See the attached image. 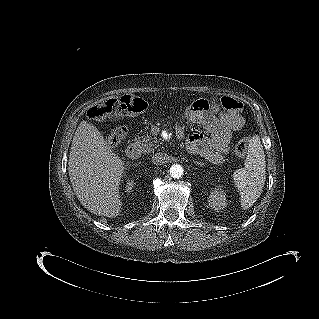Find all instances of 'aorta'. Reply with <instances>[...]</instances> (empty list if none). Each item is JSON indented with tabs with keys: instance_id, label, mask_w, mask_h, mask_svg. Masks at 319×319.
Returning a JSON list of instances; mask_svg holds the SVG:
<instances>
[{
	"instance_id": "obj_1",
	"label": "aorta",
	"mask_w": 319,
	"mask_h": 319,
	"mask_svg": "<svg viewBox=\"0 0 319 319\" xmlns=\"http://www.w3.org/2000/svg\"><path fill=\"white\" fill-rule=\"evenodd\" d=\"M183 167L179 164H174L170 167V175L173 178L179 179L183 176Z\"/></svg>"
}]
</instances>
